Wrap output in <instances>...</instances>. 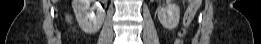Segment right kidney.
I'll list each match as a JSON object with an SVG mask.
<instances>
[{
	"label": "right kidney",
	"instance_id": "1",
	"mask_svg": "<svg viewBox=\"0 0 261 44\" xmlns=\"http://www.w3.org/2000/svg\"><path fill=\"white\" fill-rule=\"evenodd\" d=\"M72 8L79 27L85 33H96L101 28L105 18V11L99 1L73 0Z\"/></svg>",
	"mask_w": 261,
	"mask_h": 44
}]
</instances>
